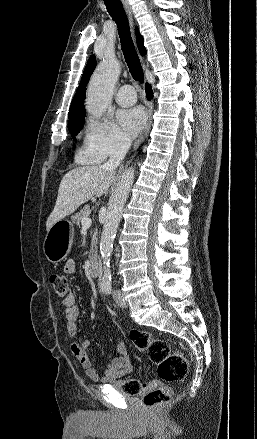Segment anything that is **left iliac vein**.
I'll return each instance as SVG.
<instances>
[{
	"label": "left iliac vein",
	"instance_id": "left-iliac-vein-1",
	"mask_svg": "<svg viewBox=\"0 0 257 439\" xmlns=\"http://www.w3.org/2000/svg\"><path fill=\"white\" fill-rule=\"evenodd\" d=\"M113 297L117 305L120 306L121 308H126L128 306L127 302L123 299V296L119 291H115L113 293Z\"/></svg>",
	"mask_w": 257,
	"mask_h": 439
}]
</instances>
